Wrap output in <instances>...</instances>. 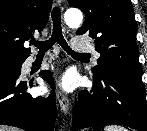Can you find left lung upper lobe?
<instances>
[{
    "label": "left lung upper lobe",
    "instance_id": "obj_1",
    "mask_svg": "<svg viewBox=\"0 0 147 131\" xmlns=\"http://www.w3.org/2000/svg\"><path fill=\"white\" fill-rule=\"evenodd\" d=\"M85 13L77 35L94 39L101 54L92 71L95 77L117 73L142 82V67L136 43L137 24L130 0H68Z\"/></svg>",
    "mask_w": 147,
    "mask_h": 131
}]
</instances>
